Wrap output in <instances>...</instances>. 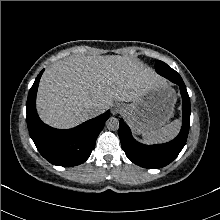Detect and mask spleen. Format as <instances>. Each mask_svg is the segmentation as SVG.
<instances>
[{"label": "spleen", "instance_id": "3e777b00", "mask_svg": "<svg viewBox=\"0 0 220 220\" xmlns=\"http://www.w3.org/2000/svg\"><path fill=\"white\" fill-rule=\"evenodd\" d=\"M180 126L181 122L177 119L160 129L146 131L142 136L147 143L166 142L178 134Z\"/></svg>", "mask_w": 220, "mask_h": 220}]
</instances>
